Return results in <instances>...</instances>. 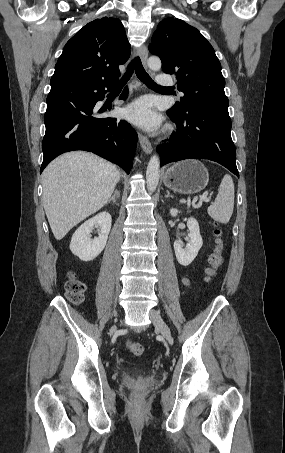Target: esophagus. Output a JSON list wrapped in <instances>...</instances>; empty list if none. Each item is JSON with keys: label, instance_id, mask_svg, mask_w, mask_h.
I'll return each mask as SVG.
<instances>
[{"label": "esophagus", "instance_id": "esophagus-1", "mask_svg": "<svg viewBox=\"0 0 285 453\" xmlns=\"http://www.w3.org/2000/svg\"><path fill=\"white\" fill-rule=\"evenodd\" d=\"M140 58H141L143 65L147 66L148 50H147L146 45H143L140 49ZM138 137H139V142H140V146H141L142 150L146 154H150L153 150L151 142L148 140V138L146 136H144L141 133H138Z\"/></svg>", "mask_w": 285, "mask_h": 453}]
</instances>
